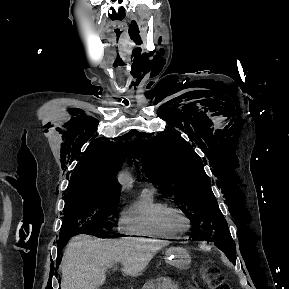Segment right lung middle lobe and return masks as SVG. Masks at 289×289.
Returning a JSON list of instances; mask_svg holds the SVG:
<instances>
[{"mask_svg": "<svg viewBox=\"0 0 289 289\" xmlns=\"http://www.w3.org/2000/svg\"><path fill=\"white\" fill-rule=\"evenodd\" d=\"M119 197V194H101L67 198L59 241L66 243L77 234L110 237L107 231L113 225L107 219L115 214Z\"/></svg>", "mask_w": 289, "mask_h": 289, "instance_id": "right-lung-middle-lobe-1", "label": "right lung middle lobe"}]
</instances>
